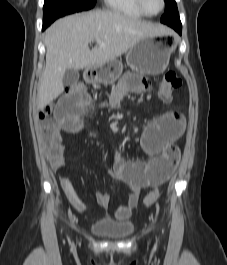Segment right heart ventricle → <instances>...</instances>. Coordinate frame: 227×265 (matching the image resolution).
I'll return each instance as SVG.
<instances>
[{
    "label": "right heart ventricle",
    "instance_id": "right-heart-ventricle-1",
    "mask_svg": "<svg viewBox=\"0 0 227 265\" xmlns=\"http://www.w3.org/2000/svg\"><path fill=\"white\" fill-rule=\"evenodd\" d=\"M104 2L110 10L125 16L133 18L144 16L139 10L136 0H104Z\"/></svg>",
    "mask_w": 227,
    "mask_h": 265
}]
</instances>
